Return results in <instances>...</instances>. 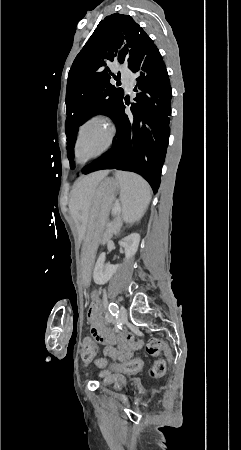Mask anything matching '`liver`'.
<instances>
[{"mask_svg":"<svg viewBox=\"0 0 241 450\" xmlns=\"http://www.w3.org/2000/svg\"><path fill=\"white\" fill-rule=\"evenodd\" d=\"M108 174L109 170H101V172H94V174H89V176H81L73 186L69 208L74 218L82 220L81 230L86 228L87 216L96 188L99 182L104 180ZM79 212H82V216H80Z\"/></svg>","mask_w":241,"mask_h":450,"instance_id":"1","label":"liver"}]
</instances>
